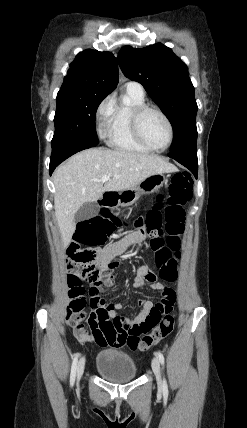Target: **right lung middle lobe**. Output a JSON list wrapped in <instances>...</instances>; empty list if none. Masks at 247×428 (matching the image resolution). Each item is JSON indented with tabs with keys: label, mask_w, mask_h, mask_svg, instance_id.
Instances as JSON below:
<instances>
[{
	"label": "right lung middle lobe",
	"mask_w": 247,
	"mask_h": 428,
	"mask_svg": "<svg viewBox=\"0 0 247 428\" xmlns=\"http://www.w3.org/2000/svg\"><path fill=\"white\" fill-rule=\"evenodd\" d=\"M106 95L89 92H69L57 95L54 117L55 133L52 148L59 146H89L98 144L95 116Z\"/></svg>",
	"instance_id": "1"
}]
</instances>
